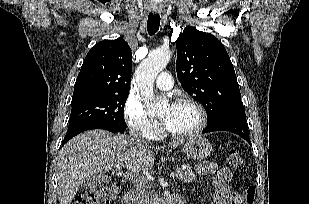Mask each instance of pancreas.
<instances>
[{
  "label": "pancreas",
  "mask_w": 309,
  "mask_h": 204,
  "mask_svg": "<svg viewBox=\"0 0 309 204\" xmlns=\"http://www.w3.org/2000/svg\"><path fill=\"white\" fill-rule=\"evenodd\" d=\"M175 177L179 178L184 182H192L196 179L195 173L192 169L188 166L185 169L178 168L175 170Z\"/></svg>",
  "instance_id": "pancreas-1"
}]
</instances>
